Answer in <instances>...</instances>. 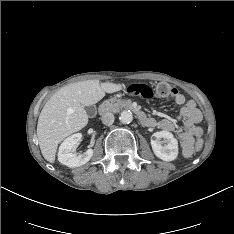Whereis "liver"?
Instances as JSON below:
<instances>
[{"label":"liver","instance_id":"6515ba94","mask_svg":"<svg viewBox=\"0 0 234 234\" xmlns=\"http://www.w3.org/2000/svg\"><path fill=\"white\" fill-rule=\"evenodd\" d=\"M121 89L120 84L86 80L70 84L56 92L44 105L37 124L43 157L53 163L58 144L87 125L85 106L96 104L105 93H114Z\"/></svg>","mask_w":234,"mask_h":234}]
</instances>
